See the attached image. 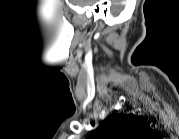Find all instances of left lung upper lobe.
I'll use <instances>...</instances> for the list:
<instances>
[{
  "instance_id": "1",
  "label": "left lung upper lobe",
  "mask_w": 179,
  "mask_h": 139,
  "mask_svg": "<svg viewBox=\"0 0 179 139\" xmlns=\"http://www.w3.org/2000/svg\"><path fill=\"white\" fill-rule=\"evenodd\" d=\"M150 131L138 116L114 114L99 125L89 139H142Z\"/></svg>"
}]
</instances>
